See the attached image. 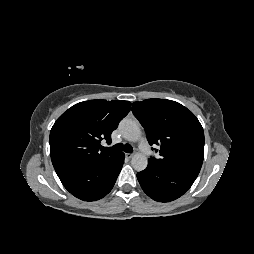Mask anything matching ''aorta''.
Instances as JSON below:
<instances>
[{
  "label": "aorta",
  "instance_id": "aorta-1",
  "mask_svg": "<svg viewBox=\"0 0 254 254\" xmlns=\"http://www.w3.org/2000/svg\"><path fill=\"white\" fill-rule=\"evenodd\" d=\"M119 129L122 136L129 142H136L140 138L139 124L133 119L124 118L119 123ZM131 164L136 171L144 170L148 164L146 155L142 153H135L132 157Z\"/></svg>",
  "mask_w": 254,
  "mask_h": 254
}]
</instances>
